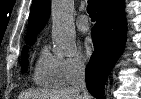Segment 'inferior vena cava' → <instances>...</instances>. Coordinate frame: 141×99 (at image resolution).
<instances>
[{"mask_svg": "<svg viewBox=\"0 0 141 99\" xmlns=\"http://www.w3.org/2000/svg\"><path fill=\"white\" fill-rule=\"evenodd\" d=\"M74 84L73 88L79 92H83V99H90L85 82V66L82 63L76 64L74 68Z\"/></svg>", "mask_w": 141, "mask_h": 99, "instance_id": "1", "label": "inferior vena cava"}]
</instances>
